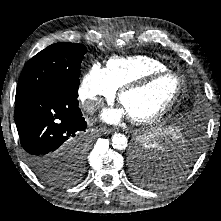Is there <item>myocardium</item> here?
<instances>
[{"label":"myocardium","instance_id":"f54148a6","mask_svg":"<svg viewBox=\"0 0 221 221\" xmlns=\"http://www.w3.org/2000/svg\"><path fill=\"white\" fill-rule=\"evenodd\" d=\"M163 76H172L176 80L177 87H176V91L173 97L159 112H157L156 114L152 116L145 117V118L129 117L132 123L136 125H148V124L156 123L160 121L162 118H164L173 109V107L175 106V104L177 103L181 95V92L183 89L182 79L177 73L171 70L156 71V72L149 73L137 80L128 82L119 89L118 101L121 103L122 97L125 93L144 88L147 85H149L151 82H153L154 80Z\"/></svg>","mask_w":221,"mask_h":221}]
</instances>
